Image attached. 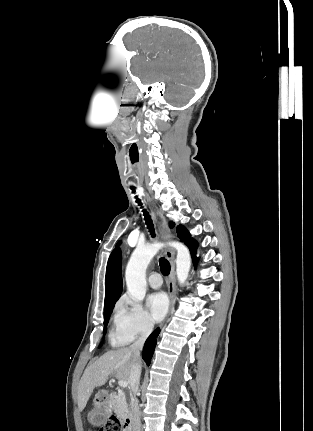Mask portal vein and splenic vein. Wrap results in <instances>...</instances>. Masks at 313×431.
Instances as JSON below:
<instances>
[{
  "label": "portal vein and splenic vein",
  "instance_id": "1",
  "mask_svg": "<svg viewBox=\"0 0 313 431\" xmlns=\"http://www.w3.org/2000/svg\"><path fill=\"white\" fill-rule=\"evenodd\" d=\"M118 385L122 388H126L128 386V382L121 380V381H118Z\"/></svg>",
  "mask_w": 313,
  "mask_h": 431
}]
</instances>
